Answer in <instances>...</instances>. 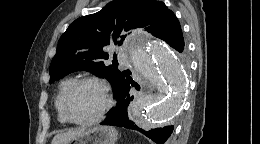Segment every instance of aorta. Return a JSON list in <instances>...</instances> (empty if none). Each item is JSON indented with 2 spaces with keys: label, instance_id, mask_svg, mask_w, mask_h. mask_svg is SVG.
<instances>
[{
  "label": "aorta",
  "instance_id": "1",
  "mask_svg": "<svg viewBox=\"0 0 260 144\" xmlns=\"http://www.w3.org/2000/svg\"><path fill=\"white\" fill-rule=\"evenodd\" d=\"M134 70L159 92L138 97L132 105L137 123L146 128L173 116L180 108L186 77L178 55L164 42L139 35L126 42Z\"/></svg>",
  "mask_w": 260,
  "mask_h": 144
}]
</instances>
